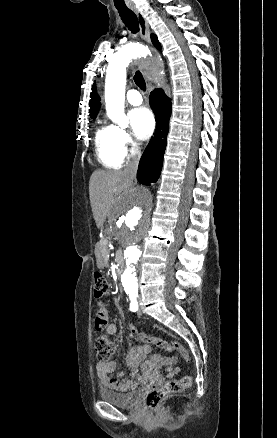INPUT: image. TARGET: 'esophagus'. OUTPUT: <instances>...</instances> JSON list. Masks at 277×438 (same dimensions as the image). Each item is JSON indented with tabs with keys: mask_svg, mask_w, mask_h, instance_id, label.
Returning <instances> with one entry per match:
<instances>
[{
	"mask_svg": "<svg viewBox=\"0 0 277 438\" xmlns=\"http://www.w3.org/2000/svg\"><path fill=\"white\" fill-rule=\"evenodd\" d=\"M137 16L139 22L140 36L142 40L147 43L151 42L149 24L143 14L136 7H129ZM156 52V51H155ZM156 57L160 58V55L156 52ZM163 66V62L160 61Z\"/></svg>",
	"mask_w": 277,
	"mask_h": 438,
	"instance_id": "esophagus-1",
	"label": "esophagus"
}]
</instances>
